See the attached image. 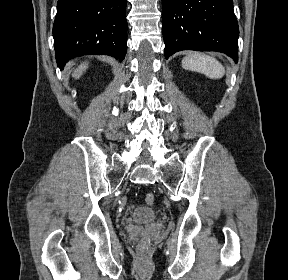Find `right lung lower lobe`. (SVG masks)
Here are the masks:
<instances>
[{
    "label": "right lung lower lobe",
    "mask_w": 288,
    "mask_h": 280,
    "mask_svg": "<svg viewBox=\"0 0 288 280\" xmlns=\"http://www.w3.org/2000/svg\"><path fill=\"white\" fill-rule=\"evenodd\" d=\"M53 38L60 69L87 54L121 62L127 51L126 0H58Z\"/></svg>",
    "instance_id": "obj_1"
}]
</instances>
